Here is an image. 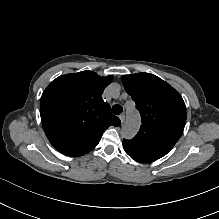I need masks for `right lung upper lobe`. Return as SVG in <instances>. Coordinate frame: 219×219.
<instances>
[{
    "label": "right lung upper lobe",
    "mask_w": 219,
    "mask_h": 219,
    "mask_svg": "<svg viewBox=\"0 0 219 219\" xmlns=\"http://www.w3.org/2000/svg\"><path fill=\"white\" fill-rule=\"evenodd\" d=\"M112 79L82 71L59 76L45 89L40 100L42 126L59 152L82 156L97 146L109 126L121 124L102 100Z\"/></svg>",
    "instance_id": "1"
}]
</instances>
